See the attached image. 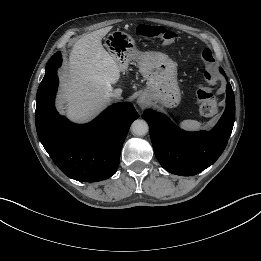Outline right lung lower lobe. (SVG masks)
<instances>
[{
  "instance_id": "1",
  "label": "right lung lower lobe",
  "mask_w": 261,
  "mask_h": 261,
  "mask_svg": "<svg viewBox=\"0 0 261 261\" xmlns=\"http://www.w3.org/2000/svg\"><path fill=\"white\" fill-rule=\"evenodd\" d=\"M36 96V129L40 142L54 163L68 177L97 182L111 177L119 165L123 142L139 117L131 103H117L89 124L76 125L60 116L54 99L56 70Z\"/></svg>"
}]
</instances>
